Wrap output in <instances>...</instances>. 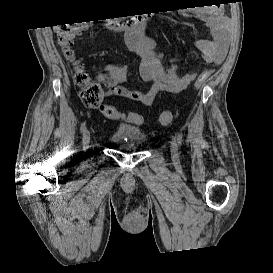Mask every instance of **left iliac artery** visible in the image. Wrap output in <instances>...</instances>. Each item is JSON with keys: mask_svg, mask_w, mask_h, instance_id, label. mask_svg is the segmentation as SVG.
<instances>
[{"mask_svg": "<svg viewBox=\"0 0 273 273\" xmlns=\"http://www.w3.org/2000/svg\"><path fill=\"white\" fill-rule=\"evenodd\" d=\"M177 141H178L179 146L181 147L182 142H183V138H182V135L180 133L177 135Z\"/></svg>", "mask_w": 273, "mask_h": 273, "instance_id": "1", "label": "left iliac artery"}]
</instances>
